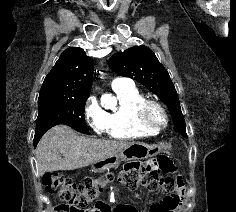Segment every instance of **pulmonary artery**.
Returning <instances> with one entry per match:
<instances>
[{
	"mask_svg": "<svg viewBox=\"0 0 236 212\" xmlns=\"http://www.w3.org/2000/svg\"><path fill=\"white\" fill-rule=\"evenodd\" d=\"M129 83H131L129 79L117 77L112 80L111 86L112 87H119V86H123V85L129 84Z\"/></svg>",
	"mask_w": 236,
	"mask_h": 212,
	"instance_id": "obj_1",
	"label": "pulmonary artery"
}]
</instances>
